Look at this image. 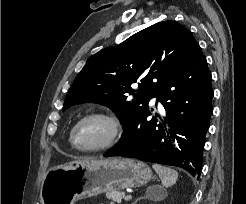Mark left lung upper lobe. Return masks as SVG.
Masks as SVG:
<instances>
[{"mask_svg": "<svg viewBox=\"0 0 246 204\" xmlns=\"http://www.w3.org/2000/svg\"><path fill=\"white\" fill-rule=\"evenodd\" d=\"M197 44L191 32L175 21L143 29L87 60L66 95L63 111L79 103H100L110 107L126 128ZM138 78H142L139 90H134L131 84Z\"/></svg>", "mask_w": 246, "mask_h": 204, "instance_id": "1", "label": "left lung upper lobe"}]
</instances>
